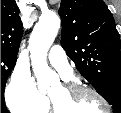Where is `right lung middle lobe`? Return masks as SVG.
<instances>
[{
	"mask_svg": "<svg viewBox=\"0 0 121 113\" xmlns=\"http://www.w3.org/2000/svg\"><path fill=\"white\" fill-rule=\"evenodd\" d=\"M17 56L1 53V106L5 107L4 88L8 76L15 66Z\"/></svg>",
	"mask_w": 121,
	"mask_h": 113,
	"instance_id": "obj_1",
	"label": "right lung middle lobe"
}]
</instances>
